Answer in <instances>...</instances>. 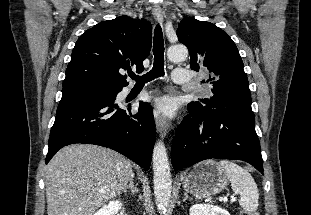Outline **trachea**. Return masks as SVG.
<instances>
[{
    "instance_id": "trachea-1",
    "label": "trachea",
    "mask_w": 311,
    "mask_h": 215,
    "mask_svg": "<svg viewBox=\"0 0 311 215\" xmlns=\"http://www.w3.org/2000/svg\"><path fill=\"white\" fill-rule=\"evenodd\" d=\"M153 54L154 63L153 68L143 76H137L134 73H129V76L136 80L137 85H144L145 83L154 80L157 77L164 76V39L160 25H156L154 30Z\"/></svg>"
}]
</instances>
